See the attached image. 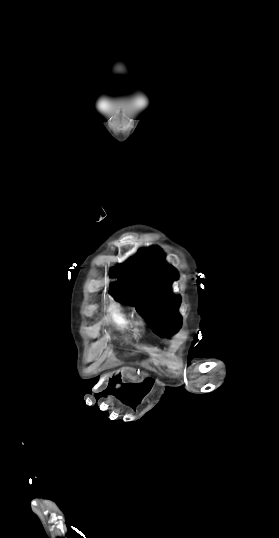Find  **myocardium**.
<instances>
[{"label": "myocardium", "mask_w": 279, "mask_h": 538, "mask_svg": "<svg viewBox=\"0 0 279 538\" xmlns=\"http://www.w3.org/2000/svg\"><path fill=\"white\" fill-rule=\"evenodd\" d=\"M135 325H136V326H140V325H142V322H141V321H136V322H135Z\"/></svg>", "instance_id": "1"}]
</instances>
